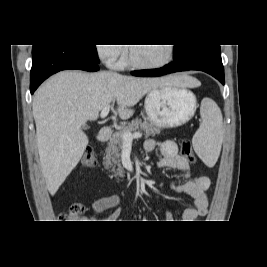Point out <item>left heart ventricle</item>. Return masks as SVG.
Returning a JSON list of instances; mask_svg holds the SVG:
<instances>
[{
	"label": "left heart ventricle",
	"instance_id": "b2bd125f",
	"mask_svg": "<svg viewBox=\"0 0 267 267\" xmlns=\"http://www.w3.org/2000/svg\"><path fill=\"white\" fill-rule=\"evenodd\" d=\"M134 59L139 63L156 64L164 61L168 56V47L165 44L155 46H133Z\"/></svg>",
	"mask_w": 267,
	"mask_h": 267
}]
</instances>
